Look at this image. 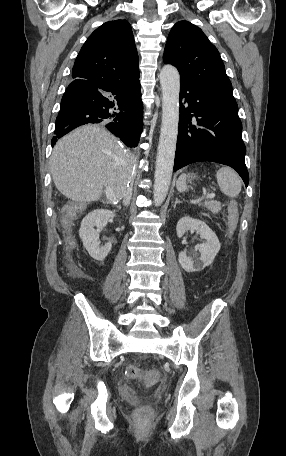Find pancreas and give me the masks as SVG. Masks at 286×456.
<instances>
[{
    "label": "pancreas",
    "mask_w": 286,
    "mask_h": 456,
    "mask_svg": "<svg viewBox=\"0 0 286 456\" xmlns=\"http://www.w3.org/2000/svg\"><path fill=\"white\" fill-rule=\"evenodd\" d=\"M203 206L210 210L213 214H218L222 207L217 201H207Z\"/></svg>",
    "instance_id": "cf45deb5"
}]
</instances>
